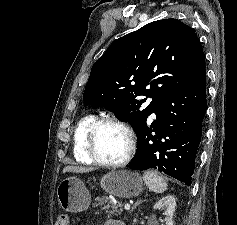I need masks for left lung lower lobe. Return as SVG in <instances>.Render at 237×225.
<instances>
[{
    "label": "left lung lower lobe",
    "mask_w": 237,
    "mask_h": 225,
    "mask_svg": "<svg viewBox=\"0 0 237 225\" xmlns=\"http://www.w3.org/2000/svg\"><path fill=\"white\" fill-rule=\"evenodd\" d=\"M205 80L156 102L148 114L155 113L156 119L147 125V116L136 131L137 151L130 169L155 168L191 185L207 106Z\"/></svg>",
    "instance_id": "1"
}]
</instances>
